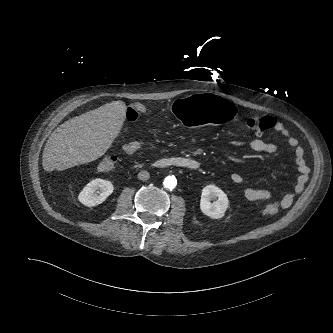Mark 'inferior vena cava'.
Returning <instances> with one entry per match:
<instances>
[{
    "instance_id": "inferior-vena-cava-1",
    "label": "inferior vena cava",
    "mask_w": 333,
    "mask_h": 333,
    "mask_svg": "<svg viewBox=\"0 0 333 333\" xmlns=\"http://www.w3.org/2000/svg\"><path fill=\"white\" fill-rule=\"evenodd\" d=\"M138 178L140 180L146 181V180H148L150 178V174H149L148 171H145V170L144 171H140L138 173Z\"/></svg>"
}]
</instances>
